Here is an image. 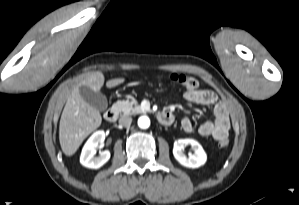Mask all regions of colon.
I'll use <instances>...</instances> for the list:
<instances>
[{"mask_svg":"<svg viewBox=\"0 0 299 205\" xmlns=\"http://www.w3.org/2000/svg\"><path fill=\"white\" fill-rule=\"evenodd\" d=\"M169 81L173 85L183 87L187 90H197L199 87L198 80L195 77L187 74L173 73L169 76ZM228 144L229 140L227 137L222 138L218 141V145L220 147H226Z\"/></svg>","mask_w":299,"mask_h":205,"instance_id":"5ec220e1","label":"colon"}]
</instances>
